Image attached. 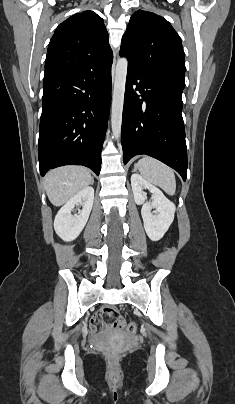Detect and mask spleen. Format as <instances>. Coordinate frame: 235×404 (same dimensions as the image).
I'll use <instances>...</instances> for the list:
<instances>
[{
  "mask_svg": "<svg viewBox=\"0 0 235 404\" xmlns=\"http://www.w3.org/2000/svg\"><path fill=\"white\" fill-rule=\"evenodd\" d=\"M135 168L139 169L145 179L162 188L167 194H175L176 180L174 172L164 163L152 157L145 156L135 164Z\"/></svg>",
  "mask_w": 235,
  "mask_h": 404,
  "instance_id": "spleen-1",
  "label": "spleen"
}]
</instances>
